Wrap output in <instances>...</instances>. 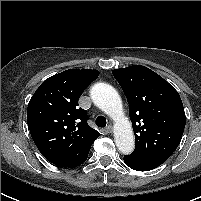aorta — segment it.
<instances>
[{
    "mask_svg": "<svg viewBox=\"0 0 201 201\" xmlns=\"http://www.w3.org/2000/svg\"><path fill=\"white\" fill-rule=\"evenodd\" d=\"M90 96L94 104L114 120V137L118 150L123 154L132 153L135 147L133 129L124 116L118 92L107 83H96L90 90Z\"/></svg>",
    "mask_w": 201,
    "mask_h": 201,
    "instance_id": "aorta-1",
    "label": "aorta"
}]
</instances>
